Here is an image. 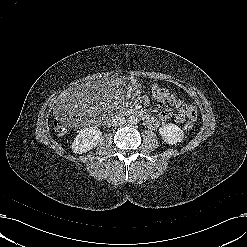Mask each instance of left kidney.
Returning <instances> with one entry per match:
<instances>
[{"label": "left kidney", "mask_w": 247, "mask_h": 247, "mask_svg": "<svg viewBox=\"0 0 247 247\" xmlns=\"http://www.w3.org/2000/svg\"><path fill=\"white\" fill-rule=\"evenodd\" d=\"M163 140L170 145H175L184 139V132L176 124L168 123L159 128Z\"/></svg>", "instance_id": "left-kidney-1"}]
</instances>
